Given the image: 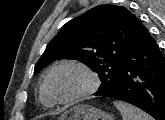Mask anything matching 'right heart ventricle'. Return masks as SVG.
<instances>
[{
    "label": "right heart ventricle",
    "mask_w": 165,
    "mask_h": 120,
    "mask_svg": "<svg viewBox=\"0 0 165 120\" xmlns=\"http://www.w3.org/2000/svg\"><path fill=\"white\" fill-rule=\"evenodd\" d=\"M40 99L42 101V103L48 107H51L54 103L50 100V98L48 97V95L46 94L45 90H44V86L43 83L40 87Z\"/></svg>",
    "instance_id": "1"
}]
</instances>
